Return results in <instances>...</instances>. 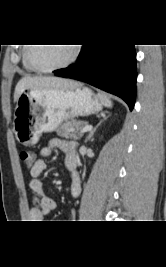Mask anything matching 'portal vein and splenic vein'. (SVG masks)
I'll list each match as a JSON object with an SVG mask.
<instances>
[{"label":"portal vein and splenic vein","mask_w":166,"mask_h":267,"mask_svg":"<svg viewBox=\"0 0 166 267\" xmlns=\"http://www.w3.org/2000/svg\"><path fill=\"white\" fill-rule=\"evenodd\" d=\"M92 129V126L91 125H87V126H85L82 130H81V132L82 133H84V132H88V131H90Z\"/></svg>","instance_id":"portal-vein-and-splenic-vein-1"}]
</instances>
